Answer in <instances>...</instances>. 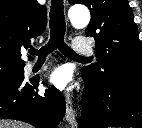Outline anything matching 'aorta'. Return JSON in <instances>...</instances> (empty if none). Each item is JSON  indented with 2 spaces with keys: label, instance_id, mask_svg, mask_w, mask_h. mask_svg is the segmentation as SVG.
Masks as SVG:
<instances>
[{
  "label": "aorta",
  "instance_id": "aorta-1",
  "mask_svg": "<svg viewBox=\"0 0 142 128\" xmlns=\"http://www.w3.org/2000/svg\"><path fill=\"white\" fill-rule=\"evenodd\" d=\"M69 19L75 28H85L90 21V12L84 6L73 7L69 10Z\"/></svg>",
  "mask_w": 142,
  "mask_h": 128
}]
</instances>
